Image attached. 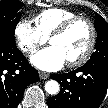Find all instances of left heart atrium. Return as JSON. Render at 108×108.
Wrapping results in <instances>:
<instances>
[{"instance_id":"39dd6f15","label":"left heart atrium","mask_w":108,"mask_h":108,"mask_svg":"<svg viewBox=\"0 0 108 108\" xmlns=\"http://www.w3.org/2000/svg\"><path fill=\"white\" fill-rule=\"evenodd\" d=\"M31 62L41 70L55 71L66 63V59L59 48L51 45L35 54Z\"/></svg>"}]
</instances>
